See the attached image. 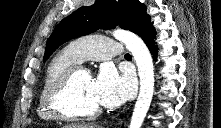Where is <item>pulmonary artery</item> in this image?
<instances>
[{
	"label": "pulmonary artery",
	"instance_id": "obj_1",
	"mask_svg": "<svg viewBox=\"0 0 221 128\" xmlns=\"http://www.w3.org/2000/svg\"><path fill=\"white\" fill-rule=\"evenodd\" d=\"M69 46L78 54L81 61L125 57L120 42L103 39L95 35L79 37L71 41Z\"/></svg>",
	"mask_w": 221,
	"mask_h": 128
}]
</instances>
